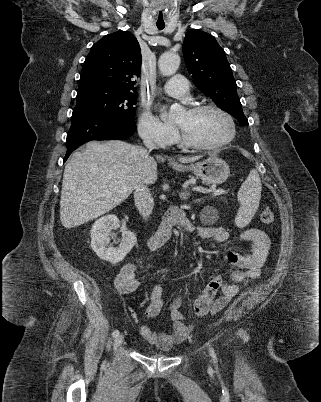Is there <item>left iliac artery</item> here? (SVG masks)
Returning <instances> with one entry per match:
<instances>
[{"label": "left iliac artery", "mask_w": 321, "mask_h": 402, "mask_svg": "<svg viewBox=\"0 0 321 402\" xmlns=\"http://www.w3.org/2000/svg\"><path fill=\"white\" fill-rule=\"evenodd\" d=\"M209 353H210V356L212 357L213 361L216 363L217 362L216 353H215L214 349L212 347H210V345H209Z\"/></svg>", "instance_id": "left-iliac-artery-1"}]
</instances>
